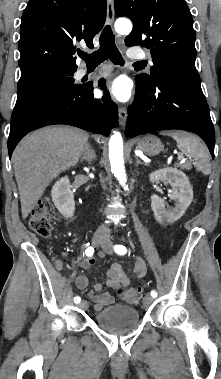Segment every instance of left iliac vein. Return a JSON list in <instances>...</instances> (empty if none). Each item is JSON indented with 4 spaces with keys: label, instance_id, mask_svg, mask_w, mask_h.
Wrapping results in <instances>:
<instances>
[{
    "label": "left iliac vein",
    "instance_id": "left-iliac-vein-1",
    "mask_svg": "<svg viewBox=\"0 0 221 379\" xmlns=\"http://www.w3.org/2000/svg\"><path fill=\"white\" fill-rule=\"evenodd\" d=\"M104 252L111 254L113 252V245L109 239H106L104 243L101 245ZM153 302V297L150 295H146L144 298V306L148 307Z\"/></svg>",
    "mask_w": 221,
    "mask_h": 379
}]
</instances>
